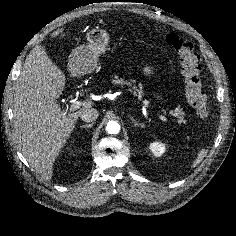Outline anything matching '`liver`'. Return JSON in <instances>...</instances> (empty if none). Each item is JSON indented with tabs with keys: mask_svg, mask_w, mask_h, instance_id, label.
<instances>
[{
	"mask_svg": "<svg viewBox=\"0 0 236 236\" xmlns=\"http://www.w3.org/2000/svg\"><path fill=\"white\" fill-rule=\"evenodd\" d=\"M67 67L72 77L81 75L79 69ZM64 87V73L51 61L45 49L36 45L16 82L14 136L23 156L45 180L52 178L53 163L74 130L80 112L93 106L88 99L78 111L63 112L57 99Z\"/></svg>",
	"mask_w": 236,
	"mask_h": 236,
	"instance_id": "1",
	"label": "liver"
}]
</instances>
